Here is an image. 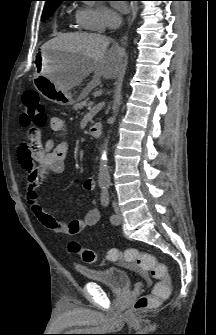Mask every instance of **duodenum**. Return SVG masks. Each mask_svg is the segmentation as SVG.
<instances>
[{
	"label": "duodenum",
	"mask_w": 216,
	"mask_h": 335,
	"mask_svg": "<svg viewBox=\"0 0 216 335\" xmlns=\"http://www.w3.org/2000/svg\"><path fill=\"white\" fill-rule=\"evenodd\" d=\"M101 134V124L95 123L89 128V135L93 138H99Z\"/></svg>",
	"instance_id": "1"
}]
</instances>
